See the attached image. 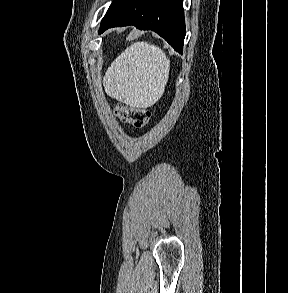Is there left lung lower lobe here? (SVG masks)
Instances as JSON below:
<instances>
[{
  "mask_svg": "<svg viewBox=\"0 0 288 293\" xmlns=\"http://www.w3.org/2000/svg\"><path fill=\"white\" fill-rule=\"evenodd\" d=\"M127 25L152 30L177 52H183L186 30L182 0H121L103 18L99 34L112 27Z\"/></svg>",
  "mask_w": 288,
  "mask_h": 293,
  "instance_id": "left-lung-lower-lobe-1",
  "label": "left lung lower lobe"
}]
</instances>
